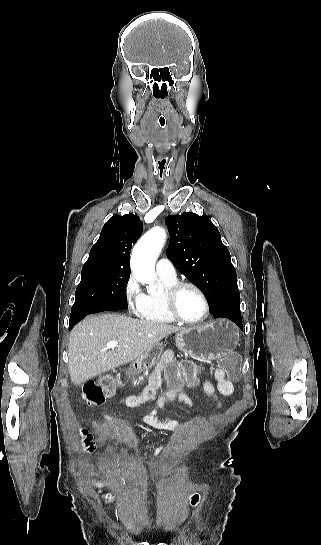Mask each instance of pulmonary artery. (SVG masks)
Segmentation results:
<instances>
[{"instance_id":"1","label":"pulmonary artery","mask_w":321,"mask_h":545,"mask_svg":"<svg viewBox=\"0 0 321 545\" xmlns=\"http://www.w3.org/2000/svg\"><path fill=\"white\" fill-rule=\"evenodd\" d=\"M156 270L158 275L161 277L168 279H175L177 277L176 269L173 263L165 255L158 260Z\"/></svg>"}]
</instances>
